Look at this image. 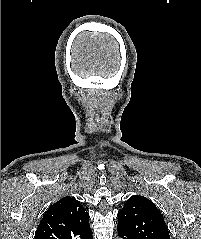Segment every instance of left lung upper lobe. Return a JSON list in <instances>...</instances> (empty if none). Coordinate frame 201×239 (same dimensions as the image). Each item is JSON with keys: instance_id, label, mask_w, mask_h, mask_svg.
Returning a JSON list of instances; mask_svg holds the SVG:
<instances>
[{"instance_id": "1", "label": "left lung upper lobe", "mask_w": 201, "mask_h": 239, "mask_svg": "<svg viewBox=\"0 0 201 239\" xmlns=\"http://www.w3.org/2000/svg\"><path fill=\"white\" fill-rule=\"evenodd\" d=\"M117 217V227L132 233L137 239H170L161 212L146 197H130Z\"/></svg>"}]
</instances>
